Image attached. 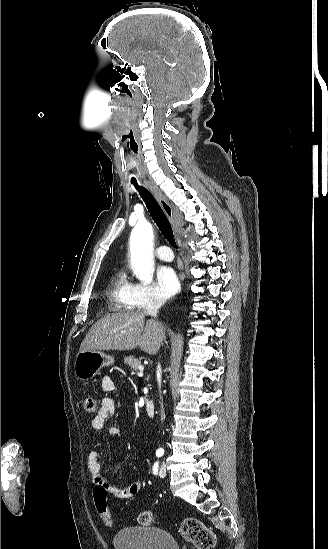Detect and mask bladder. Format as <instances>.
I'll return each mask as SVG.
<instances>
[{
  "label": "bladder",
  "mask_w": 328,
  "mask_h": 549,
  "mask_svg": "<svg viewBox=\"0 0 328 549\" xmlns=\"http://www.w3.org/2000/svg\"><path fill=\"white\" fill-rule=\"evenodd\" d=\"M117 549H177L172 535L150 527L125 528L114 537Z\"/></svg>",
  "instance_id": "obj_1"
}]
</instances>
